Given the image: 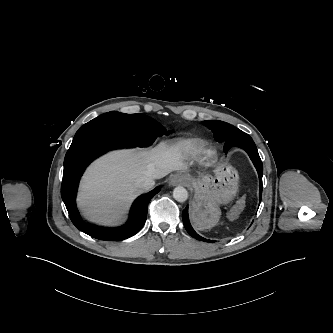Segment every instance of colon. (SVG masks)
<instances>
[{"label":"colon","instance_id":"1","mask_svg":"<svg viewBox=\"0 0 333 333\" xmlns=\"http://www.w3.org/2000/svg\"><path fill=\"white\" fill-rule=\"evenodd\" d=\"M245 205H246V198L245 197L240 198L237 201V203L235 204V206L229 212V217L231 219L236 218L240 214V212L243 210Z\"/></svg>","mask_w":333,"mask_h":333}]
</instances>
